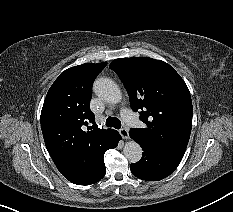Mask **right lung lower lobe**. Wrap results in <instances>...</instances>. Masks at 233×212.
<instances>
[{"label":"right lung lower lobe","instance_id":"right-lung-lower-lobe-1","mask_svg":"<svg viewBox=\"0 0 233 212\" xmlns=\"http://www.w3.org/2000/svg\"><path fill=\"white\" fill-rule=\"evenodd\" d=\"M120 139H121V136L119 135V133L117 131H114L113 134L108 139L106 145L104 146V148L101 152V155L99 157V161H98V164H97V167H96L94 174L88 180H86L85 182H83L79 185L94 184L104 177V175L106 173L105 164H104V160H103L104 153L110 148H115L118 145V142Z\"/></svg>","mask_w":233,"mask_h":212}]
</instances>
